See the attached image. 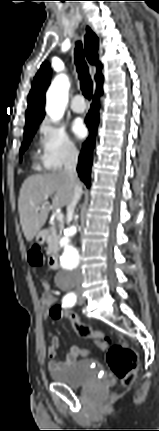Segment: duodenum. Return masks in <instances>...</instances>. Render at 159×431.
I'll list each match as a JSON object with an SVG mask.
<instances>
[{
    "instance_id": "1",
    "label": "duodenum",
    "mask_w": 159,
    "mask_h": 431,
    "mask_svg": "<svg viewBox=\"0 0 159 431\" xmlns=\"http://www.w3.org/2000/svg\"><path fill=\"white\" fill-rule=\"evenodd\" d=\"M48 236V230H43L40 233V239L41 240H45ZM49 266L51 269L56 270L60 267V263H59V254L58 253H54L49 260Z\"/></svg>"
}]
</instances>
